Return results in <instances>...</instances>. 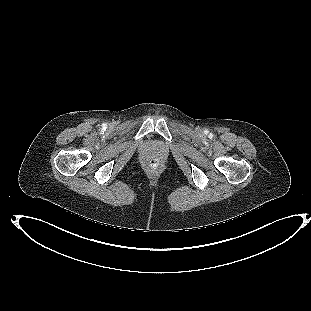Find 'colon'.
Returning <instances> with one entry per match:
<instances>
[{"label":"colon","mask_w":311,"mask_h":311,"mask_svg":"<svg viewBox=\"0 0 311 311\" xmlns=\"http://www.w3.org/2000/svg\"><path fill=\"white\" fill-rule=\"evenodd\" d=\"M160 165H161V161L159 160V159H151L150 161H149V167H150V169H157V168H159L160 167Z\"/></svg>","instance_id":"obj_1"}]
</instances>
